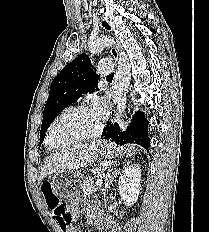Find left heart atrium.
I'll use <instances>...</instances> for the list:
<instances>
[{
	"label": "left heart atrium",
	"mask_w": 209,
	"mask_h": 232,
	"mask_svg": "<svg viewBox=\"0 0 209 232\" xmlns=\"http://www.w3.org/2000/svg\"><path fill=\"white\" fill-rule=\"evenodd\" d=\"M93 112L100 118H104L107 114V105L106 102L101 98H96L93 101Z\"/></svg>",
	"instance_id": "left-heart-atrium-1"
}]
</instances>
